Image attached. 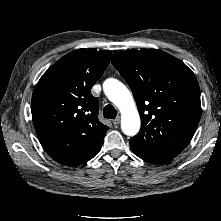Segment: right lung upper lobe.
I'll return each instance as SVG.
<instances>
[{"instance_id":"obj_1","label":"right lung upper lobe","mask_w":221,"mask_h":221,"mask_svg":"<svg viewBox=\"0 0 221 221\" xmlns=\"http://www.w3.org/2000/svg\"><path fill=\"white\" fill-rule=\"evenodd\" d=\"M109 50L78 49L53 64L31 101L33 124L45 151L67 166L81 165L100 150L108 127L98 118L91 88L110 61Z\"/></svg>"}]
</instances>
